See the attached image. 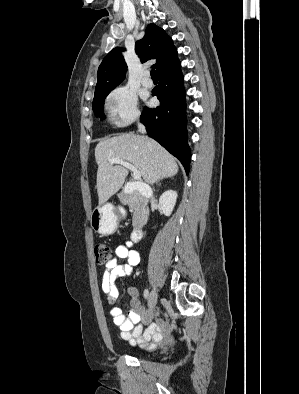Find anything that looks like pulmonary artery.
Returning <instances> with one entry per match:
<instances>
[{"instance_id":"obj_1","label":"pulmonary artery","mask_w":299,"mask_h":394,"mask_svg":"<svg viewBox=\"0 0 299 394\" xmlns=\"http://www.w3.org/2000/svg\"><path fill=\"white\" fill-rule=\"evenodd\" d=\"M142 85L147 88H150L153 86V81L151 80L148 72L145 73V75L142 79Z\"/></svg>"}]
</instances>
